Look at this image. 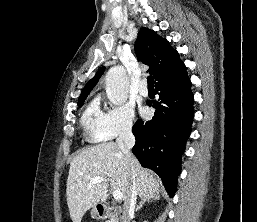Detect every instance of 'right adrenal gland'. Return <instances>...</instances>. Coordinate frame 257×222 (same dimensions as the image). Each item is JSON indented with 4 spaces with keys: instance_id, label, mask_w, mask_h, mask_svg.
I'll return each instance as SVG.
<instances>
[{
    "instance_id": "obj_1",
    "label": "right adrenal gland",
    "mask_w": 257,
    "mask_h": 222,
    "mask_svg": "<svg viewBox=\"0 0 257 222\" xmlns=\"http://www.w3.org/2000/svg\"><path fill=\"white\" fill-rule=\"evenodd\" d=\"M155 199H158V196H155ZM145 202H146V199L141 197L140 202L136 207V211L140 210Z\"/></svg>"
}]
</instances>
